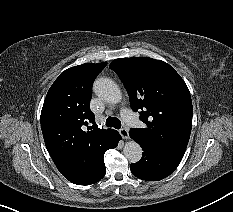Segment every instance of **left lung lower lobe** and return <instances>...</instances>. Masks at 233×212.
<instances>
[{"label":"left lung lower lobe","instance_id":"left-lung-lower-lobe-1","mask_svg":"<svg viewBox=\"0 0 233 212\" xmlns=\"http://www.w3.org/2000/svg\"><path fill=\"white\" fill-rule=\"evenodd\" d=\"M133 138L143 150V156L137 163L131 164V172L138 178L147 181H158L169 176L181 162L183 155Z\"/></svg>","mask_w":233,"mask_h":212}]
</instances>
